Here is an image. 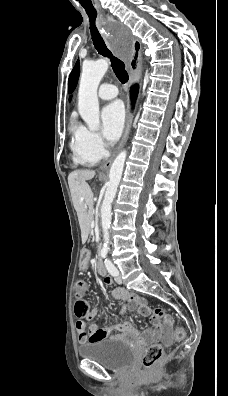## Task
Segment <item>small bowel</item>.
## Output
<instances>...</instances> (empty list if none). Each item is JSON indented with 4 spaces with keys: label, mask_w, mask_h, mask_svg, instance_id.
Wrapping results in <instances>:
<instances>
[{
    "label": "small bowel",
    "mask_w": 228,
    "mask_h": 396,
    "mask_svg": "<svg viewBox=\"0 0 228 396\" xmlns=\"http://www.w3.org/2000/svg\"><path fill=\"white\" fill-rule=\"evenodd\" d=\"M89 260V253L87 251H84L81 255L80 262V266L82 269H87L89 265ZM104 282L107 286H111L113 284V280L109 276H106L104 278ZM111 297L113 300H123L124 302H126V305L121 308V314H123L126 309L132 311L135 310L145 316L150 314L149 308L145 300L137 295L130 293L124 288H115L111 293ZM97 315L98 310L93 309L91 311H88V313L86 314V318L91 320ZM170 326L171 319L169 317H166L163 322H159V320L154 317V327L151 330L140 334L138 330L133 326V324L126 320L120 324L104 328H98L97 325L93 323L90 324L88 328L85 327L83 329H79L77 327L78 341L80 344H85L109 338H139L141 342L146 343L150 341H157L163 336L167 335Z\"/></svg>",
    "instance_id": "small-bowel-1"
}]
</instances>
